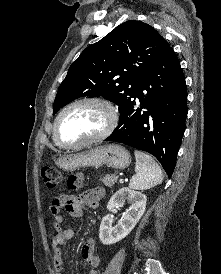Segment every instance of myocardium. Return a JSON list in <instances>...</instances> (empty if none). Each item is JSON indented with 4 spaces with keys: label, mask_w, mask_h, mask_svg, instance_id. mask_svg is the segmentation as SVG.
<instances>
[{
    "label": "myocardium",
    "mask_w": 221,
    "mask_h": 274,
    "mask_svg": "<svg viewBox=\"0 0 221 274\" xmlns=\"http://www.w3.org/2000/svg\"><path fill=\"white\" fill-rule=\"evenodd\" d=\"M82 104H94V105L102 107L105 110L106 115H107L106 126L99 134H97L87 140H84L79 143H74V144L64 143L60 140L59 135H58L60 121L67 111H69L71 108H73L75 106L82 105ZM118 120H119L118 111H117L116 107L113 105V103L110 102L109 100L100 98V97L80 98V99L70 102L57 115L55 122H54V127H53V139H54V142L62 148L79 149V148H82V147H85L88 145L95 144V143L100 142V141L104 140L105 138H107L115 130V128L118 124Z\"/></svg>",
    "instance_id": "obj_1"
}]
</instances>
